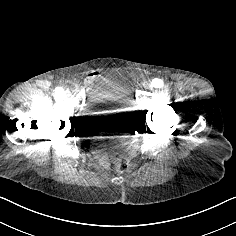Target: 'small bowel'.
<instances>
[{"mask_svg": "<svg viewBox=\"0 0 236 236\" xmlns=\"http://www.w3.org/2000/svg\"><path fill=\"white\" fill-rule=\"evenodd\" d=\"M99 76H100L99 73L94 72V73H92L91 75H89L88 80H89V82H93V81H95L96 79H98Z\"/></svg>", "mask_w": 236, "mask_h": 236, "instance_id": "c3829d8e", "label": "small bowel"}]
</instances>
